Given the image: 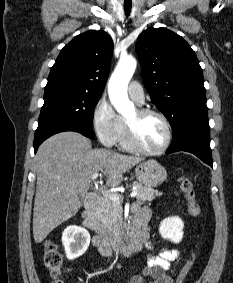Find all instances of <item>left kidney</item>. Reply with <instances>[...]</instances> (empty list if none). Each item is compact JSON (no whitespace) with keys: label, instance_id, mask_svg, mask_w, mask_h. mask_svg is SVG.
<instances>
[{"label":"left kidney","instance_id":"1","mask_svg":"<svg viewBox=\"0 0 233 283\" xmlns=\"http://www.w3.org/2000/svg\"><path fill=\"white\" fill-rule=\"evenodd\" d=\"M184 223L179 217L164 219L159 228L162 238L179 243L183 238Z\"/></svg>","mask_w":233,"mask_h":283}]
</instances>
